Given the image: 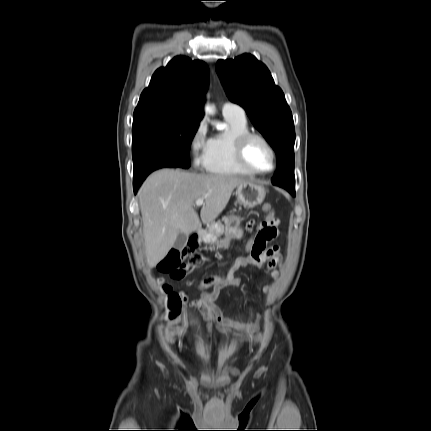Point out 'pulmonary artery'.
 I'll use <instances>...</instances> for the list:
<instances>
[{"mask_svg":"<svg viewBox=\"0 0 431 431\" xmlns=\"http://www.w3.org/2000/svg\"><path fill=\"white\" fill-rule=\"evenodd\" d=\"M222 114L224 116H236L239 118H245V112L243 108L231 102H225L222 105Z\"/></svg>","mask_w":431,"mask_h":431,"instance_id":"obj_1","label":"pulmonary artery"}]
</instances>
